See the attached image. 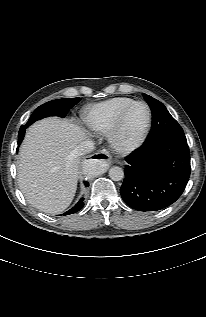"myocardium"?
I'll list each match as a JSON object with an SVG mask.
<instances>
[{"mask_svg": "<svg viewBox=\"0 0 206 317\" xmlns=\"http://www.w3.org/2000/svg\"><path fill=\"white\" fill-rule=\"evenodd\" d=\"M136 105H144L145 106V108L147 110V120H146V123H145L143 129L141 130L139 135L134 140L125 141L121 138V131L123 128L124 120H125L128 112ZM151 120H152L151 109L146 102L134 101V102L130 103L129 105H127L118 114V116L114 122L113 127L109 131L108 140H109L111 147L115 151H117L119 153H123V154L130 153V152L136 150L144 142V140L149 132L150 126H151Z\"/></svg>", "mask_w": 206, "mask_h": 317, "instance_id": "myocardium-1", "label": "myocardium"}]
</instances>
